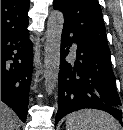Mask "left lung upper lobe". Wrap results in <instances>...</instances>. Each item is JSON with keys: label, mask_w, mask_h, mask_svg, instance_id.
Returning a JSON list of instances; mask_svg holds the SVG:
<instances>
[{"label": "left lung upper lobe", "mask_w": 123, "mask_h": 130, "mask_svg": "<svg viewBox=\"0 0 123 130\" xmlns=\"http://www.w3.org/2000/svg\"><path fill=\"white\" fill-rule=\"evenodd\" d=\"M53 8L63 12L64 28L70 30L73 36L109 50L103 15L97 0H54Z\"/></svg>", "instance_id": "5c2ea615"}]
</instances>
